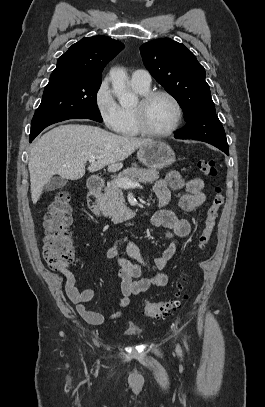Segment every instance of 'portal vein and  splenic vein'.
Masks as SVG:
<instances>
[{
  "label": "portal vein and splenic vein",
  "instance_id": "1",
  "mask_svg": "<svg viewBox=\"0 0 265 407\" xmlns=\"http://www.w3.org/2000/svg\"><path fill=\"white\" fill-rule=\"evenodd\" d=\"M96 156H91L89 157V162L93 164L96 160ZM117 185L121 188L129 189V188H135V187H141L139 182L131 181L128 179H120L117 181Z\"/></svg>",
  "mask_w": 265,
  "mask_h": 407
}]
</instances>
